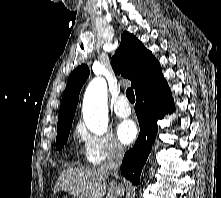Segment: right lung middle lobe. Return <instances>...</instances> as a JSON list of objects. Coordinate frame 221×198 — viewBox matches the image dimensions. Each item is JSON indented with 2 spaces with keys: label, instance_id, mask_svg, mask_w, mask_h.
<instances>
[{
  "label": "right lung middle lobe",
  "instance_id": "dd1d6c3e",
  "mask_svg": "<svg viewBox=\"0 0 221 198\" xmlns=\"http://www.w3.org/2000/svg\"><path fill=\"white\" fill-rule=\"evenodd\" d=\"M70 127L64 128L62 130L57 131V137H56V149L61 150L66 143L69 132H70Z\"/></svg>",
  "mask_w": 221,
  "mask_h": 198
}]
</instances>
